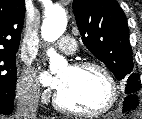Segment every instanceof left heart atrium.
Masks as SVG:
<instances>
[{"mask_svg":"<svg viewBox=\"0 0 142 119\" xmlns=\"http://www.w3.org/2000/svg\"><path fill=\"white\" fill-rule=\"evenodd\" d=\"M42 81L45 83V84H47V85H49V86H51V87H53V88H55V89H57V90H59L60 89V87H61V79L59 78V77H57V78H52V77H50V76H48V75H46V74H44L43 76H42Z\"/></svg>","mask_w":142,"mask_h":119,"instance_id":"39dd6f15","label":"left heart atrium"}]
</instances>
